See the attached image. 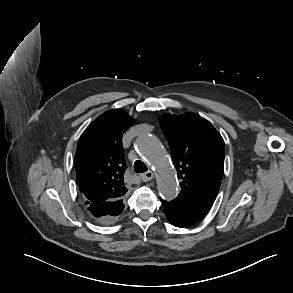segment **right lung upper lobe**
Wrapping results in <instances>:
<instances>
[{
	"label": "right lung upper lobe",
	"instance_id": "cb5924a9",
	"mask_svg": "<svg viewBox=\"0 0 293 293\" xmlns=\"http://www.w3.org/2000/svg\"><path fill=\"white\" fill-rule=\"evenodd\" d=\"M133 121L121 110H110L99 116L81 135L74 164L85 204L122 200L127 192L121 140Z\"/></svg>",
	"mask_w": 293,
	"mask_h": 293
}]
</instances>
